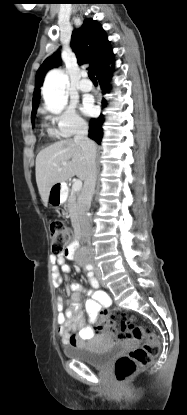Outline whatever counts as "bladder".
<instances>
[{
	"label": "bladder",
	"mask_w": 187,
	"mask_h": 415,
	"mask_svg": "<svg viewBox=\"0 0 187 415\" xmlns=\"http://www.w3.org/2000/svg\"><path fill=\"white\" fill-rule=\"evenodd\" d=\"M120 349L121 345H115L103 351L93 352L80 346H66L63 351L69 359L79 360L94 368H104Z\"/></svg>",
	"instance_id": "obj_1"
}]
</instances>
